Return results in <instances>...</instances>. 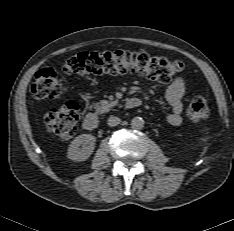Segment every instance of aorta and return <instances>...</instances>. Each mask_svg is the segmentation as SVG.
<instances>
[{"instance_id":"aorta-1","label":"aorta","mask_w":234,"mask_h":231,"mask_svg":"<svg viewBox=\"0 0 234 231\" xmlns=\"http://www.w3.org/2000/svg\"><path fill=\"white\" fill-rule=\"evenodd\" d=\"M131 126L134 129H142L144 127V120L141 117H134L131 120Z\"/></svg>"}]
</instances>
